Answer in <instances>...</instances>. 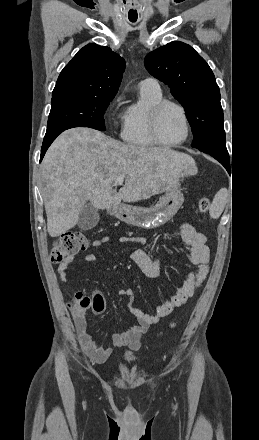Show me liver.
<instances>
[{
  "mask_svg": "<svg viewBox=\"0 0 259 440\" xmlns=\"http://www.w3.org/2000/svg\"><path fill=\"white\" fill-rule=\"evenodd\" d=\"M47 231L58 237L73 228L87 201L114 208L170 190L197 172L194 159L166 147L123 144L91 128L64 131L42 161ZM118 177L125 179L119 192Z\"/></svg>",
  "mask_w": 259,
  "mask_h": 440,
  "instance_id": "6515ba94",
  "label": "liver"
}]
</instances>
